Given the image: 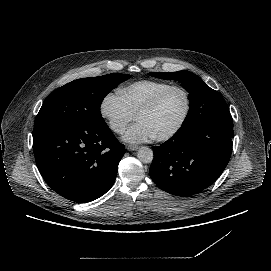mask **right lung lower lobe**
<instances>
[{
  "instance_id": "right-lung-lower-lobe-1",
  "label": "right lung lower lobe",
  "mask_w": 271,
  "mask_h": 271,
  "mask_svg": "<svg viewBox=\"0 0 271 271\" xmlns=\"http://www.w3.org/2000/svg\"><path fill=\"white\" fill-rule=\"evenodd\" d=\"M33 150L45 182L78 203L95 200L114 184L125 153L105 121H46L34 126Z\"/></svg>"
}]
</instances>
